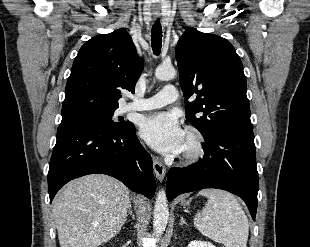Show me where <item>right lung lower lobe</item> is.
I'll return each mask as SVG.
<instances>
[{
	"instance_id": "98d812e1",
	"label": "right lung lower lobe",
	"mask_w": 310,
	"mask_h": 247,
	"mask_svg": "<svg viewBox=\"0 0 310 247\" xmlns=\"http://www.w3.org/2000/svg\"><path fill=\"white\" fill-rule=\"evenodd\" d=\"M95 173L115 177L148 198L154 196L152 159L131 122L122 129L98 122L60 124L48 172L50 202L70 180Z\"/></svg>"
}]
</instances>
